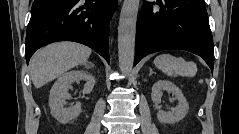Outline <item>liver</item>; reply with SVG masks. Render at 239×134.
I'll use <instances>...</instances> for the list:
<instances>
[{"instance_id":"obj_1","label":"liver","mask_w":239,"mask_h":134,"mask_svg":"<svg viewBox=\"0 0 239 134\" xmlns=\"http://www.w3.org/2000/svg\"><path fill=\"white\" fill-rule=\"evenodd\" d=\"M90 55V48L74 42H58L42 48L30 61L34 86L40 88L69 69L86 63Z\"/></svg>"}]
</instances>
